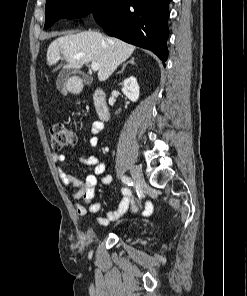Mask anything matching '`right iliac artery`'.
Returning a JSON list of instances; mask_svg holds the SVG:
<instances>
[{
    "instance_id": "1",
    "label": "right iliac artery",
    "mask_w": 247,
    "mask_h": 296,
    "mask_svg": "<svg viewBox=\"0 0 247 296\" xmlns=\"http://www.w3.org/2000/svg\"><path fill=\"white\" fill-rule=\"evenodd\" d=\"M122 182L127 184L128 186H133V180L129 176H123L122 177Z\"/></svg>"
}]
</instances>
